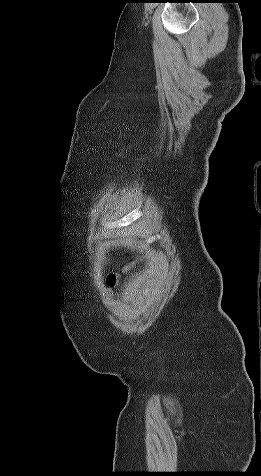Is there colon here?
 <instances>
[{
  "label": "colon",
  "mask_w": 261,
  "mask_h": 476,
  "mask_svg": "<svg viewBox=\"0 0 261 476\" xmlns=\"http://www.w3.org/2000/svg\"><path fill=\"white\" fill-rule=\"evenodd\" d=\"M115 283V275H112L108 279V284L113 285Z\"/></svg>",
  "instance_id": "colon-1"
}]
</instances>
